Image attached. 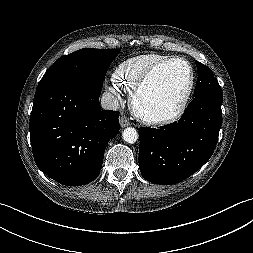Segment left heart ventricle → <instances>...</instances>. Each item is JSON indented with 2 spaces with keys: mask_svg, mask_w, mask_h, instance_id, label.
<instances>
[{
  "mask_svg": "<svg viewBox=\"0 0 253 253\" xmlns=\"http://www.w3.org/2000/svg\"><path fill=\"white\" fill-rule=\"evenodd\" d=\"M190 79L188 67L172 62L157 70L139 98L140 108L152 115H168L180 104Z\"/></svg>",
  "mask_w": 253,
  "mask_h": 253,
  "instance_id": "left-heart-ventricle-1",
  "label": "left heart ventricle"
}]
</instances>
